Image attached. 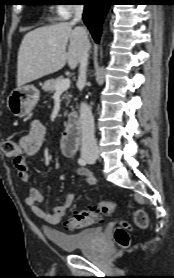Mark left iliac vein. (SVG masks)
I'll return each mask as SVG.
<instances>
[{
    "label": "left iliac vein",
    "mask_w": 174,
    "mask_h": 278,
    "mask_svg": "<svg viewBox=\"0 0 174 278\" xmlns=\"http://www.w3.org/2000/svg\"><path fill=\"white\" fill-rule=\"evenodd\" d=\"M95 162V160H93V159H88V163L89 164H93Z\"/></svg>",
    "instance_id": "obj_1"
}]
</instances>
